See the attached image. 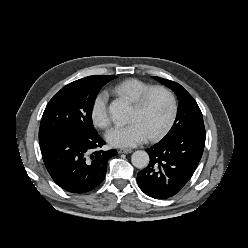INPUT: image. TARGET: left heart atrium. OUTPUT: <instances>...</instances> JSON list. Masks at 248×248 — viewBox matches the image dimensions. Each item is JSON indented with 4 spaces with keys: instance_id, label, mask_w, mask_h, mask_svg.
Listing matches in <instances>:
<instances>
[{
    "instance_id": "39dd6f15",
    "label": "left heart atrium",
    "mask_w": 248,
    "mask_h": 248,
    "mask_svg": "<svg viewBox=\"0 0 248 248\" xmlns=\"http://www.w3.org/2000/svg\"><path fill=\"white\" fill-rule=\"evenodd\" d=\"M107 141L115 147H134L148 140L149 135L138 122L119 126L108 131Z\"/></svg>"
}]
</instances>
